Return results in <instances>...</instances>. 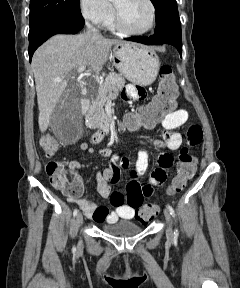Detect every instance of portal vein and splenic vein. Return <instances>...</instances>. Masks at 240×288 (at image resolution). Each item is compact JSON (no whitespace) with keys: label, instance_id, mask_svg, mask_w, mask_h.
<instances>
[{"label":"portal vein and splenic vein","instance_id":"portal-vein-and-splenic-vein-1","mask_svg":"<svg viewBox=\"0 0 240 288\" xmlns=\"http://www.w3.org/2000/svg\"><path fill=\"white\" fill-rule=\"evenodd\" d=\"M85 69H86V65H82L81 67H79L78 69H77V72L78 73H82L83 71H85ZM55 81H57V82H60V81H62V78H57Z\"/></svg>","mask_w":240,"mask_h":288}]
</instances>
